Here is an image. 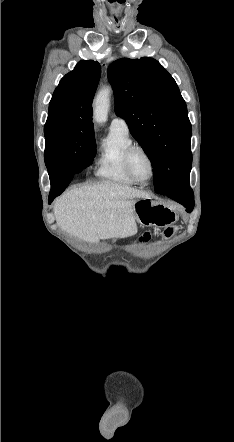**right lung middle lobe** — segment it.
Segmentation results:
<instances>
[{
	"label": "right lung middle lobe",
	"instance_id": "right-lung-middle-lobe-1",
	"mask_svg": "<svg viewBox=\"0 0 234 442\" xmlns=\"http://www.w3.org/2000/svg\"><path fill=\"white\" fill-rule=\"evenodd\" d=\"M45 134V165L70 161L76 173L81 172L96 154L94 130L83 128L71 119L47 120Z\"/></svg>",
	"mask_w": 234,
	"mask_h": 442
}]
</instances>
